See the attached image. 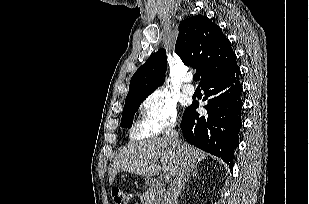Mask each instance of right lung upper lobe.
<instances>
[{
	"label": "right lung upper lobe",
	"mask_w": 309,
	"mask_h": 204,
	"mask_svg": "<svg viewBox=\"0 0 309 204\" xmlns=\"http://www.w3.org/2000/svg\"><path fill=\"white\" fill-rule=\"evenodd\" d=\"M175 52L185 65L192 66L200 73L203 82L236 65L231 42L219 26L203 15L180 23ZM166 68V50L161 48L134 73L126 101L146 98L161 86Z\"/></svg>",
	"instance_id": "right-lung-upper-lobe-1"
}]
</instances>
